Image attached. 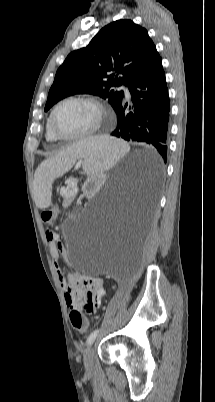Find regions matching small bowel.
<instances>
[{"mask_svg":"<svg viewBox=\"0 0 215 402\" xmlns=\"http://www.w3.org/2000/svg\"><path fill=\"white\" fill-rule=\"evenodd\" d=\"M45 236L49 244L50 254L56 265L66 305L70 309H85L86 303L90 300L95 311L100 306L101 300L106 293L103 280L101 278L86 277L76 272L71 273L66 279L58 263L60 256H65L66 254L60 236L51 229L46 230Z\"/></svg>","mask_w":215,"mask_h":402,"instance_id":"1","label":"small bowel"}]
</instances>
